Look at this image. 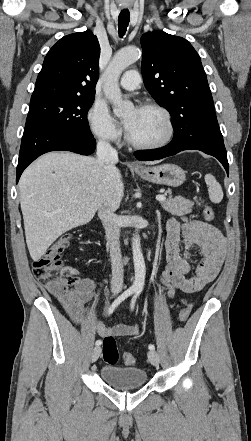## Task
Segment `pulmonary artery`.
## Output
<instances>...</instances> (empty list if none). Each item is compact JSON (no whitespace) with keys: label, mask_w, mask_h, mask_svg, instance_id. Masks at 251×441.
<instances>
[{"label":"pulmonary artery","mask_w":251,"mask_h":441,"mask_svg":"<svg viewBox=\"0 0 251 441\" xmlns=\"http://www.w3.org/2000/svg\"><path fill=\"white\" fill-rule=\"evenodd\" d=\"M140 75L135 70L127 71L121 78L120 85L125 90H135L140 84Z\"/></svg>","instance_id":"1"}]
</instances>
